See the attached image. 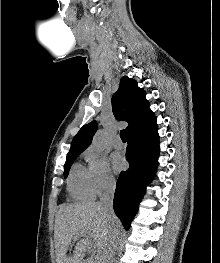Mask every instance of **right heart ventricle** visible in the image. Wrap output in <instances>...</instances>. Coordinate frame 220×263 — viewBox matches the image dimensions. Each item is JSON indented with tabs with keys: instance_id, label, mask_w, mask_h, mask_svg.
<instances>
[{
	"instance_id": "1",
	"label": "right heart ventricle",
	"mask_w": 220,
	"mask_h": 263,
	"mask_svg": "<svg viewBox=\"0 0 220 263\" xmlns=\"http://www.w3.org/2000/svg\"><path fill=\"white\" fill-rule=\"evenodd\" d=\"M67 187L70 197L74 200L89 201L95 197L89 170L79 163L72 167Z\"/></svg>"
}]
</instances>
